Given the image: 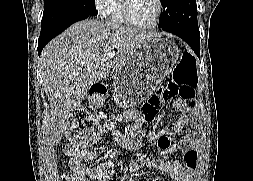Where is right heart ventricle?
<instances>
[{"label": "right heart ventricle", "mask_w": 253, "mask_h": 181, "mask_svg": "<svg viewBox=\"0 0 253 181\" xmlns=\"http://www.w3.org/2000/svg\"><path fill=\"white\" fill-rule=\"evenodd\" d=\"M107 20L114 24H123L125 19L122 12L121 0H112Z\"/></svg>", "instance_id": "e07e8e85"}]
</instances>
